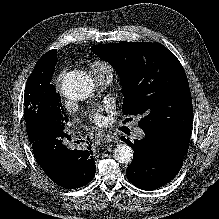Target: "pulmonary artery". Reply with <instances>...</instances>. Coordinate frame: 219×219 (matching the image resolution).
<instances>
[{"label":"pulmonary artery","mask_w":219,"mask_h":219,"mask_svg":"<svg viewBox=\"0 0 219 219\" xmlns=\"http://www.w3.org/2000/svg\"><path fill=\"white\" fill-rule=\"evenodd\" d=\"M91 75H92V78L95 84L100 88L106 87L111 82V79H112V71L110 70H105V71L98 72V73L91 74ZM135 136L137 138H142L143 131L140 129H136Z\"/></svg>","instance_id":"1"}]
</instances>
